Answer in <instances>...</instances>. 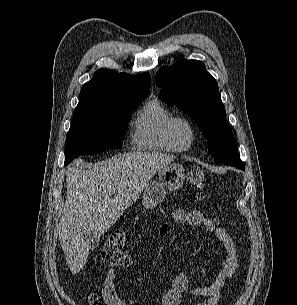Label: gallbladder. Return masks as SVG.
I'll return each mask as SVG.
<instances>
[{
	"instance_id": "bac80fb5",
	"label": "gallbladder",
	"mask_w": 297,
	"mask_h": 305,
	"mask_svg": "<svg viewBox=\"0 0 297 305\" xmlns=\"http://www.w3.org/2000/svg\"><path fill=\"white\" fill-rule=\"evenodd\" d=\"M101 234L95 231H84L83 241L87 245L89 250H94L98 247Z\"/></svg>"
}]
</instances>
